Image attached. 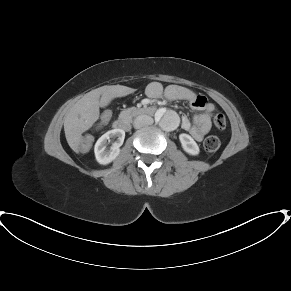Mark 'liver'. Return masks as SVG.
<instances>
[{"label": "liver", "instance_id": "1", "mask_svg": "<svg viewBox=\"0 0 291 291\" xmlns=\"http://www.w3.org/2000/svg\"><path fill=\"white\" fill-rule=\"evenodd\" d=\"M134 91L135 89L122 85L103 86L78 100L64 118L65 136L71 149L79 152L81 135L99 119L100 107L107 106L114 98L129 95Z\"/></svg>", "mask_w": 291, "mask_h": 291}]
</instances>
